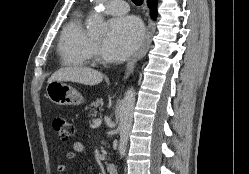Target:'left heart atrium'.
Returning a JSON list of instances; mask_svg holds the SVG:
<instances>
[{"label":"left heart atrium","instance_id":"obj_1","mask_svg":"<svg viewBox=\"0 0 249 174\" xmlns=\"http://www.w3.org/2000/svg\"><path fill=\"white\" fill-rule=\"evenodd\" d=\"M143 27L134 16H124L111 21L110 33L102 45V54L112 62L122 61L140 45Z\"/></svg>","mask_w":249,"mask_h":174}]
</instances>
